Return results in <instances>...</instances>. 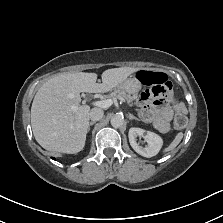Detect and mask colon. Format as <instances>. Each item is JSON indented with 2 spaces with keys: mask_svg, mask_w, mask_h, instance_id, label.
Here are the masks:
<instances>
[{
  "mask_svg": "<svg viewBox=\"0 0 223 223\" xmlns=\"http://www.w3.org/2000/svg\"><path fill=\"white\" fill-rule=\"evenodd\" d=\"M137 79L144 85H165L169 84V80L164 73L140 71L137 73ZM187 125V117L182 112H178L174 118V126L177 130H183Z\"/></svg>",
  "mask_w": 223,
  "mask_h": 223,
  "instance_id": "1",
  "label": "colon"
}]
</instances>
